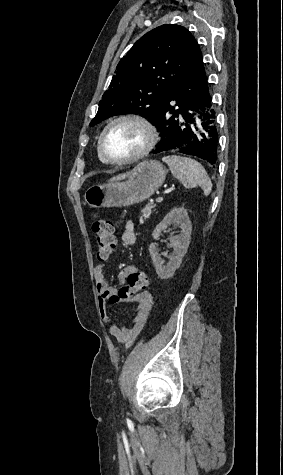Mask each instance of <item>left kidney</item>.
Listing matches in <instances>:
<instances>
[{
	"mask_svg": "<svg viewBox=\"0 0 283 475\" xmlns=\"http://www.w3.org/2000/svg\"><path fill=\"white\" fill-rule=\"evenodd\" d=\"M171 224H175V226L181 228V232L178 236H171V238H169L172 247H174V253L173 255H169L170 259L166 265H164V259H162L158 253L159 249L156 243H150L149 245L152 261L155 265L158 277H161V279H169V277L174 275L175 269L180 267V263H182V257H184L191 239L192 224L185 208H172L169 214L163 218L162 222L156 226L152 234L153 238L159 239L162 230H166Z\"/></svg>",
	"mask_w": 283,
	"mask_h": 475,
	"instance_id": "obj_1",
	"label": "left kidney"
}]
</instances>
